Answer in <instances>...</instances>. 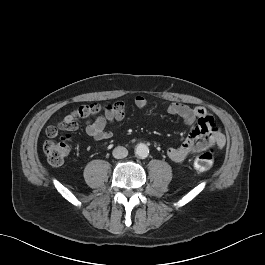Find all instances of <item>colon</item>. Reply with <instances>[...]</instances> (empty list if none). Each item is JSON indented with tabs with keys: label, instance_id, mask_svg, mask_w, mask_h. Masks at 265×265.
I'll use <instances>...</instances> for the list:
<instances>
[{
	"label": "colon",
	"instance_id": "5ec220e1",
	"mask_svg": "<svg viewBox=\"0 0 265 265\" xmlns=\"http://www.w3.org/2000/svg\"><path fill=\"white\" fill-rule=\"evenodd\" d=\"M110 109V106L93 103L77 108L70 115L63 118L56 125L49 126L46 134L49 138L43 146V151L48 163L51 166L57 167L64 163L69 155V145L65 138L56 140L55 138L61 131H70L76 127V118H88L99 113H105ZM214 164V154L212 151H204L194 159V168L198 172L209 171Z\"/></svg>",
	"mask_w": 265,
	"mask_h": 265
}]
</instances>
